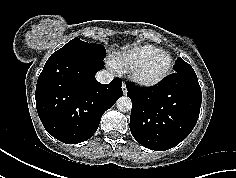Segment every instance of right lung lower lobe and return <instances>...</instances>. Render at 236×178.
<instances>
[{
	"label": "right lung lower lobe",
	"mask_w": 236,
	"mask_h": 178,
	"mask_svg": "<svg viewBox=\"0 0 236 178\" xmlns=\"http://www.w3.org/2000/svg\"><path fill=\"white\" fill-rule=\"evenodd\" d=\"M103 60L84 50L53 54L47 60L37 81L36 108L44 128L61 142L91 138L103 113L123 95L121 79L109 84L96 80Z\"/></svg>",
	"instance_id": "1"
}]
</instances>
